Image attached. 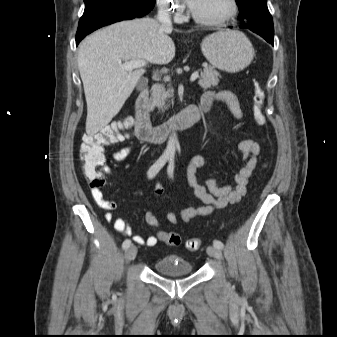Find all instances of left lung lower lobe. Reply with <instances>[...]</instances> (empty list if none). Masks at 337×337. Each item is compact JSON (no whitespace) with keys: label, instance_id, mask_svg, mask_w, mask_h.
<instances>
[{"label":"left lung lower lobe","instance_id":"obj_1","mask_svg":"<svg viewBox=\"0 0 337 337\" xmlns=\"http://www.w3.org/2000/svg\"><path fill=\"white\" fill-rule=\"evenodd\" d=\"M240 28L249 29L252 32L263 37L267 42L273 45L274 43V28L273 26L263 25L259 23H249V22H241Z\"/></svg>","mask_w":337,"mask_h":337}]
</instances>
